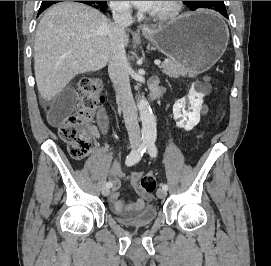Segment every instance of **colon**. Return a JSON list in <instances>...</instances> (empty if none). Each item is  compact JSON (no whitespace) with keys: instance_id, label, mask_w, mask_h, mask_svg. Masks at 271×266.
<instances>
[{"instance_id":"obj_1","label":"colon","mask_w":271,"mask_h":266,"mask_svg":"<svg viewBox=\"0 0 271 266\" xmlns=\"http://www.w3.org/2000/svg\"><path fill=\"white\" fill-rule=\"evenodd\" d=\"M78 101L74 110L62 122L60 135L68 145V151L74 158L88 155L95 145L91 129V120L104 102L101 81L92 75L83 77L77 89ZM145 193H152L156 188L153 173L141 177L137 184Z\"/></svg>"}]
</instances>
